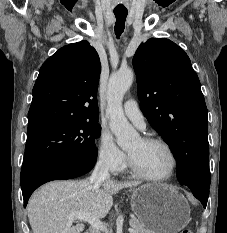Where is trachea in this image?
Here are the masks:
<instances>
[{"instance_id":"1","label":"trachea","mask_w":227,"mask_h":233,"mask_svg":"<svg viewBox=\"0 0 227 233\" xmlns=\"http://www.w3.org/2000/svg\"><path fill=\"white\" fill-rule=\"evenodd\" d=\"M115 17H116V23H115V34L117 37H119L123 32L125 28V20L127 17L128 12L127 11H114Z\"/></svg>"}]
</instances>
